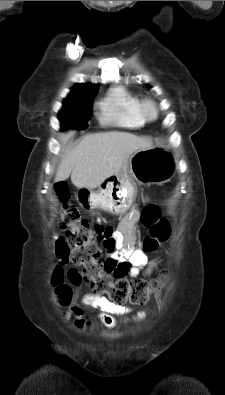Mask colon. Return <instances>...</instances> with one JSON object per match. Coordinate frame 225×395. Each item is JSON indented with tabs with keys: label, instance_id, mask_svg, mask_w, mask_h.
Instances as JSON below:
<instances>
[{
	"label": "colon",
	"instance_id": "obj_1",
	"mask_svg": "<svg viewBox=\"0 0 225 395\" xmlns=\"http://www.w3.org/2000/svg\"><path fill=\"white\" fill-rule=\"evenodd\" d=\"M56 195L59 200L60 226L66 231L65 240H69L72 248L71 260L68 261L82 267L81 279H84L95 293L106 295L116 305L127 302L142 305L152 294L161 289L167 278L166 273H162L150 282L141 279L129 281L109 273L106 269V259L100 260V249L93 239L90 226L81 219L78 209L69 202L67 186L62 183L57 184ZM142 222L150 229L149 235L143 241V249L147 252L156 251L161 244L168 241L171 233L170 225L154 206H147L143 210ZM65 277L68 280V274L65 275L61 266L54 270L52 284L56 300L62 306L69 305L72 299V290L65 282ZM69 282L72 284V281Z\"/></svg>",
	"mask_w": 225,
	"mask_h": 395
}]
</instances>
